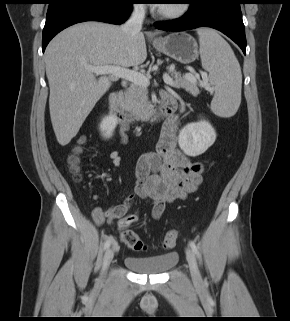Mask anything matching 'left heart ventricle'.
Here are the masks:
<instances>
[{
  "instance_id": "obj_1",
  "label": "left heart ventricle",
  "mask_w": 290,
  "mask_h": 321,
  "mask_svg": "<svg viewBox=\"0 0 290 321\" xmlns=\"http://www.w3.org/2000/svg\"><path fill=\"white\" fill-rule=\"evenodd\" d=\"M175 3H168V4H162L161 7H170L174 5Z\"/></svg>"
}]
</instances>
